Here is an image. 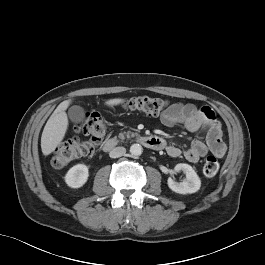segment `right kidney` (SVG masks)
<instances>
[{
	"mask_svg": "<svg viewBox=\"0 0 265 265\" xmlns=\"http://www.w3.org/2000/svg\"><path fill=\"white\" fill-rule=\"evenodd\" d=\"M88 177V167L84 164H77L68 170L65 182L71 188H80L87 182Z\"/></svg>",
	"mask_w": 265,
	"mask_h": 265,
	"instance_id": "1",
	"label": "right kidney"
}]
</instances>
